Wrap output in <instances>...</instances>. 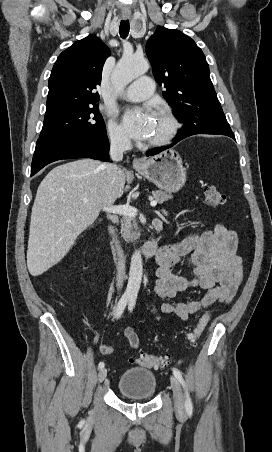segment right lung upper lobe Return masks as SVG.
<instances>
[{"mask_svg":"<svg viewBox=\"0 0 272 452\" xmlns=\"http://www.w3.org/2000/svg\"><path fill=\"white\" fill-rule=\"evenodd\" d=\"M109 48L96 35L76 41L55 62L49 78L46 114L95 105Z\"/></svg>","mask_w":272,"mask_h":452,"instance_id":"right-lung-upper-lobe-1","label":"right lung upper lobe"}]
</instances>
